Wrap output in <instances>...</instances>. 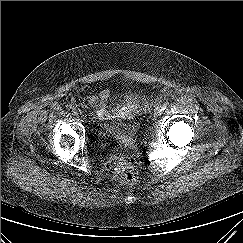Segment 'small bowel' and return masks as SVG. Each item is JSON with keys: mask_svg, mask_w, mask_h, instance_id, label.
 <instances>
[{"mask_svg": "<svg viewBox=\"0 0 243 243\" xmlns=\"http://www.w3.org/2000/svg\"><path fill=\"white\" fill-rule=\"evenodd\" d=\"M118 100L122 101V103L118 104ZM111 101L113 104L109 105ZM86 105L95 112V117L98 120L113 122L114 125L109 127L127 136L130 126L121 122L131 119L138 112L140 100L131 93L112 95L108 89H103L95 95L88 96Z\"/></svg>", "mask_w": 243, "mask_h": 243, "instance_id": "small-bowel-1", "label": "small bowel"}]
</instances>
